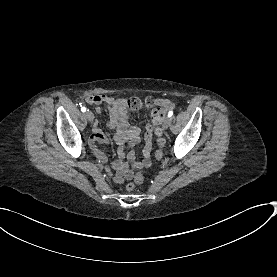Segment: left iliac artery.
I'll return each mask as SVG.
<instances>
[{"mask_svg": "<svg viewBox=\"0 0 277 277\" xmlns=\"http://www.w3.org/2000/svg\"><path fill=\"white\" fill-rule=\"evenodd\" d=\"M172 115H173V111H169L168 117H172Z\"/></svg>", "mask_w": 277, "mask_h": 277, "instance_id": "1", "label": "left iliac artery"}]
</instances>
